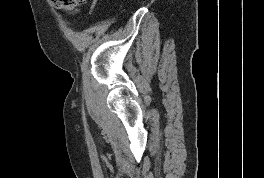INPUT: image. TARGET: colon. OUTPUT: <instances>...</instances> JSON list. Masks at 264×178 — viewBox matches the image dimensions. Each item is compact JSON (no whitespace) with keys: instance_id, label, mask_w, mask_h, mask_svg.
I'll return each instance as SVG.
<instances>
[{"instance_id":"1","label":"colon","mask_w":264,"mask_h":178,"mask_svg":"<svg viewBox=\"0 0 264 178\" xmlns=\"http://www.w3.org/2000/svg\"><path fill=\"white\" fill-rule=\"evenodd\" d=\"M49 1L55 8L66 12L76 11L86 2V0H49Z\"/></svg>"}]
</instances>
